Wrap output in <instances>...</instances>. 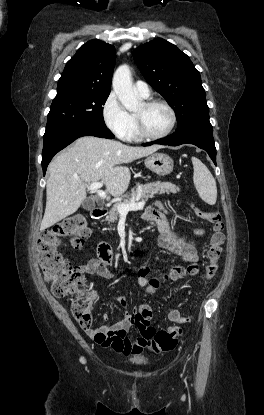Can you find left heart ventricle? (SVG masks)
<instances>
[{"instance_id": "left-heart-ventricle-1", "label": "left heart ventricle", "mask_w": 264, "mask_h": 415, "mask_svg": "<svg viewBox=\"0 0 264 415\" xmlns=\"http://www.w3.org/2000/svg\"><path fill=\"white\" fill-rule=\"evenodd\" d=\"M135 113L142 117L146 131L152 135L166 131L171 122L169 111L161 105L147 108L142 104Z\"/></svg>"}]
</instances>
